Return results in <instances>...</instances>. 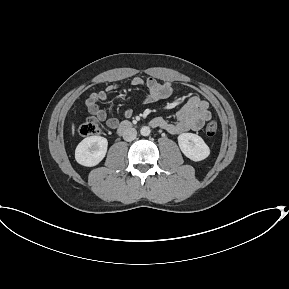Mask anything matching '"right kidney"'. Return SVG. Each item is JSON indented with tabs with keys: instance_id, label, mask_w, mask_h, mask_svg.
Here are the masks:
<instances>
[{
	"instance_id": "right-kidney-1",
	"label": "right kidney",
	"mask_w": 289,
	"mask_h": 289,
	"mask_svg": "<svg viewBox=\"0 0 289 289\" xmlns=\"http://www.w3.org/2000/svg\"><path fill=\"white\" fill-rule=\"evenodd\" d=\"M108 141L101 136H90L83 139L75 150L76 161L87 167L99 164L106 155Z\"/></svg>"
}]
</instances>
